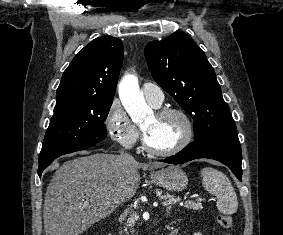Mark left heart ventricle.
<instances>
[{"instance_id":"1","label":"left heart ventricle","mask_w":283,"mask_h":235,"mask_svg":"<svg viewBox=\"0 0 283 235\" xmlns=\"http://www.w3.org/2000/svg\"><path fill=\"white\" fill-rule=\"evenodd\" d=\"M149 144L158 150L175 146L183 136L184 124L180 117L168 115L162 118L151 116L143 125Z\"/></svg>"}]
</instances>
